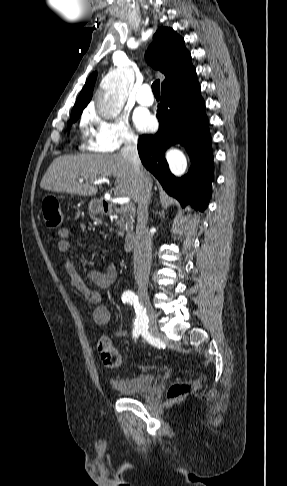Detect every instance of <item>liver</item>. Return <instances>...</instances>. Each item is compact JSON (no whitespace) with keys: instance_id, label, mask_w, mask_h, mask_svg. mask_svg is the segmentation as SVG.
<instances>
[{"instance_id":"6515ba94","label":"liver","mask_w":287,"mask_h":486,"mask_svg":"<svg viewBox=\"0 0 287 486\" xmlns=\"http://www.w3.org/2000/svg\"><path fill=\"white\" fill-rule=\"evenodd\" d=\"M108 177L116 178L114 195L128 196L137 202L138 180L132 164L121 154H80L55 158L44 174L40 187L58 193L92 196L98 192L93 182Z\"/></svg>"}]
</instances>
